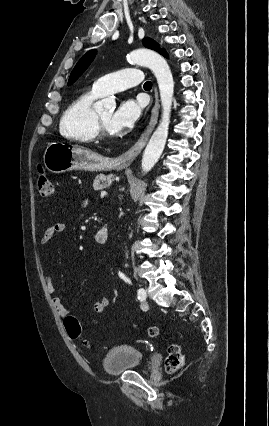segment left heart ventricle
Segmentation results:
<instances>
[{
    "label": "left heart ventricle",
    "instance_id": "left-heart-ventricle-1",
    "mask_svg": "<svg viewBox=\"0 0 269 426\" xmlns=\"http://www.w3.org/2000/svg\"><path fill=\"white\" fill-rule=\"evenodd\" d=\"M101 121L103 122V124L106 126V128L111 132V133H115L116 131H114L110 125L111 123V118L113 115V111L112 110H105L102 111L100 113H98Z\"/></svg>",
    "mask_w": 269,
    "mask_h": 426
}]
</instances>
